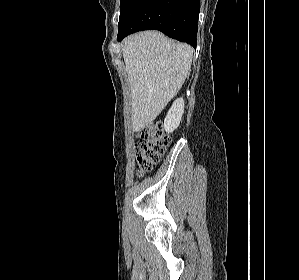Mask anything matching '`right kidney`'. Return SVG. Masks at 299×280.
<instances>
[{
	"label": "right kidney",
	"instance_id": "right-kidney-1",
	"mask_svg": "<svg viewBox=\"0 0 299 280\" xmlns=\"http://www.w3.org/2000/svg\"><path fill=\"white\" fill-rule=\"evenodd\" d=\"M184 113V100L179 98L174 101L166 118L164 119L163 128L167 133H172L180 125Z\"/></svg>",
	"mask_w": 299,
	"mask_h": 280
}]
</instances>
